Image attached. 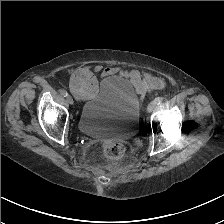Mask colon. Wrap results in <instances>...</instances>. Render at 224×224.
Returning a JSON list of instances; mask_svg holds the SVG:
<instances>
[{
    "label": "colon",
    "mask_w": 224,
    "mask_h": 224,
    "mask_svg": "<svg viewBox=\"0 0 224 224\" xmlns=\"http://www.w3.org/2000/svg\"><path fill=\"white\" fill-rule=\"evenodd\" d=\"M71 90L80 98H90L98 90V81L95 73L88 68L78 69L70 82ZM103 154L112 159L119 158L124 153V147L120 142L108 141L102 146Z\"/></svg>",
    "instance_id": "obj_1"
}]
</instances>
